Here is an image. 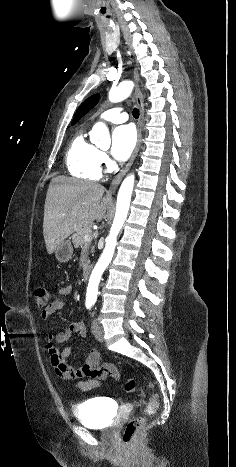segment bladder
Returning <instances> with one entry per match:
<instances>
[{"label":"bladder","mask_w":236,"mask_h":467,"mask_svg":"<svg viewBox=\"0 0 236 467\" xmlns=\"http://www.w3.org/2000/svg\"><path fill=\"white\" fill-rule=\"evenodd\" d=\"M112 403L104 397H95L82 402L74 408V416L83 424L95 428H107L112 425Z\"/></svg>","instance_id":"obj_1"}]
</instances>
